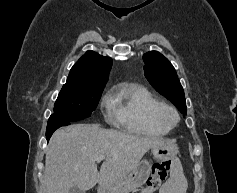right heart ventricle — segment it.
Returning a JSON list of instances; mask_svg holds the SVG:
<instances>
[{"label":"right heart ventricle","mask_w":237,"mask_h":193,"mask_svg":"<svg viewBox=\"0 0 237 193\" xmlns=\"http://www.w3.org/2000/svg\"><path fill=\"white\" fill-rule=\"evenodd\" d=\"M109 102L110 120L122 126L129 133L163 136L170 130L156 118V112L163 103L141 85H121L109 97Z\"/></svg>","instance_id":"1"}]
</instances>
